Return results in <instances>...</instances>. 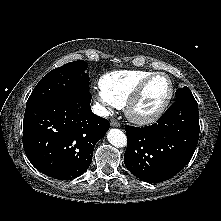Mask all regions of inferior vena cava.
I'll use <instances>...</instances> for the list:
<instances>
[{
	"mask_svg": "<svg viewBox=\"0 0 221 221\" xmlns=\"http://www.w3.org/2000/svg\"><path fill=\"white\" fill-rule=\"evenodd\" d=\"M92 111L98 116H102V117L109 116V111L104 106L98 103L92 106Z\"/></svg>",
	"mask_w": 221,
	"mask_h": 221,
	"instance_id": "obj_1",
	"label": "inferior vena cava"
}]
</instances>
